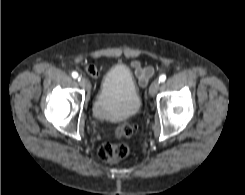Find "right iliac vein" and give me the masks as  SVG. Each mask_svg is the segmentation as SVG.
I'll return each instance as SVG.
<instances>
[{
    "mask_svg": "<svg viewBox=\"0 0 245 195\" xmlns=\"http://www.w3.org/2000/svg\"><path fill=\"white\" fill-rule=\"evenodd\" d=\"M79 84H80L83 88H85L87 91H90V89H91V84H90V82H89L88 79H86V78H80V79H79Z\"/></svg>",
    "mask_w": 245,
    "mask_h": 195,
    "instance_id": "right-iliac-vein-1",
    "label": "right iliac vein"
}]
</instances>
